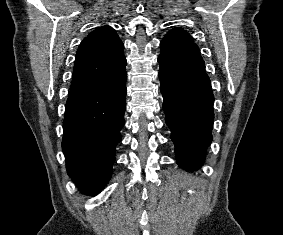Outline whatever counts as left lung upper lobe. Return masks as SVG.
Masks as SVG:
<instances>
[{
	"mask_svg": "<svg viewBox=\"0 0 283 235\" xmlns=\"http://www.w3.org/2000/svg\"><path fill=\"white\" fill-rule=\"evenodd\" d=\"M160 46L159 63L205 72L204 61L198 46L192 41L190 34L183 29L170 30Z\"/></svg>",
	"mask_w": 283,
	"mask_h": 235,
	"instance_id": "left-lung-upper-lobe-1",
	"label": "left lung upper lobe"
}]
</instances>
